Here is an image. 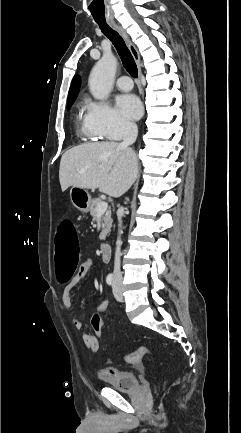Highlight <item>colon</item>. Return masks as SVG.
I'll list each match as a JSON object with an SVG mask.
<instances>
[{
	"label": "colon",
	"instance_id": "colon-1",
	"mask_svg": "<svg viewBox=\"0 0 241 433\" xmlns=\"http://www.w3.org/2000/svg\"><path fill=\"white\" fill-rule=\"evenodd\" d=\"M77 225L74 220H61L59 225H55L51 231L52 254L55 261V270H57V279L60 283L68 282L73 274V270L79 262V244L77 238ZM96 333L101 331V317L97 314L93 315L89 320ZM89 345L94 348L95 343L89 342ZM151 350L146 346L139 347L136 351L124 355V360L133 365H140L144 356L150 355ZM105 373L111 374V369L105 370Z\"/></svg>",
	"mask_w": 241,
	"mask_h": 433
}]
</instances>
